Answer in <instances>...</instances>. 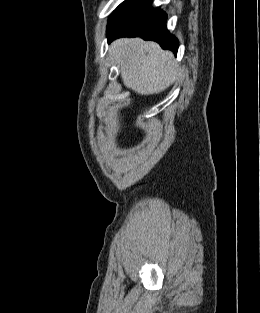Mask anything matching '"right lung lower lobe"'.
<instances>
[{"label":"right lung lower lobe","mask_w":260,"mask_h":313,"mask_svg":"<svg viewBox=\"0 0 260 313\" xmlns=\"http://www.w3.org/2000/svg\"><path fill=\"white\" fill-rule=\"evenodd\" d=\"M151 3V0H126L118 6L109 18V42L118 37H141L156 41L163 49L176 54L179 42L166 28L167 15L161 9L152 8Z\"/></svg>","instance_id":"obj_1"}]
</instances>
